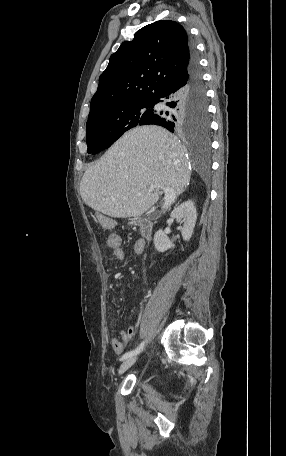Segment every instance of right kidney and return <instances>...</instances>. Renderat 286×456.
I'll return each instance as SVG.
<instances>
[{
	"instance_id": "obj_1",
	"label": "right kidney",
	"mask_w": 286,
	"mask_h": 456,
	"mask_svg": "<svg viewBox=\"0 0 286 456\" xmlns=\"http://www.w3.org/2000/svg\"><path fill=\"white\" fill-rule=\"evenodd\" d=\"M170 217L176 219L180 224L181 234L184 241H189L197 220V212L194 202L187 200L177 206L170 214ZM154 246L159 252H165L170 248H174V244L168 239L162 229H159L154 235Z\"/></svg>"
}]
</instances>
